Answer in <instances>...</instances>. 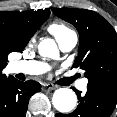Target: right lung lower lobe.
I'll list each match as a JSON object with an SVG mask.
<instances>
[{"mask_svg":"<svg viewBox=\"0 0 117 117\" xmlns=\"http://www.w3.org/2000/svg\"><path fill=\"white\" fill-rule=\"evenodd\" d=\"M41 91L37 82L13 77L0 81V117H25L30 97Z\"/></svg>","mask_w":117,"mask_h":117,"instance_id":"1","label":"right lung lower lobe"}]
</instances>
